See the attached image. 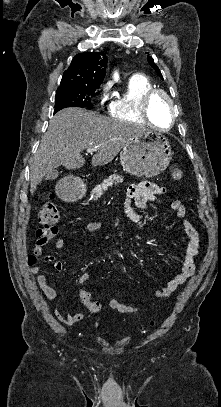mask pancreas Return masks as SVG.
Segmentation results:
<instances>
[{"label":"pancreas","mask_w":221,"mask_h":407,"mask_svg":"<svg viewBox=\"0 0 221 407\" xmlns=\"http://www.w3.org/2000/svg\"><path fill=\"white\" fill-rule=\"evenodd\" d=\"M123 182V177L120 175L113 174L108 178L104 179V181L97 185L93 190L92 193L95 197H100L109 187H112L113 184H118Z\"/></svg>","instance_id":"1"}]
</instances>
